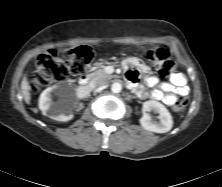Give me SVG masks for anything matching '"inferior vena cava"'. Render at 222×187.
<instances>
[{
  "label": "inferior vena cava",
  "instance_id": "602c4592",
  "mask_svg": "<svg viewBox=\"0 0 222 187\" xmlns=\"http://www.w3.org/2000/svg\"><path fill=\"white\" fill-rule=\"evenodd\" d=\"M107 83H108V81L106 79L96 77L91 81L90 85L94 89H99V88L104 87Z\"/></svg>",
  "mask_w": 222,
  "mask_h": 187
}]
</instances>
